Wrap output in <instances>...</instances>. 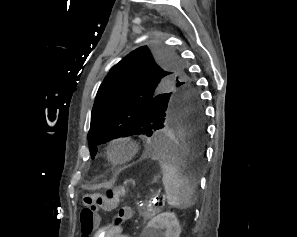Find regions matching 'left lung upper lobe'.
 <instances>
[{
    "instance_id": "left-lung-upper-lobe-1",
    "label": "left lung upper lobe",
    "mask_w": 297,
    "mask_h": 237,
    "mask_svg": "<svg viewBox=\"0 0 297 237\" xmlns=\"http://www.w3.org/2000/svg\"><path fill=\"white\" fill-rule=\"evenodd\" d=\"M184 99L202 107L196 85L174 51L156 44L132 51L110 70L97 92L87 135L91 157L97 145L112 139L150 137L172 105Z\"/></svg>"
}]
</instances>
